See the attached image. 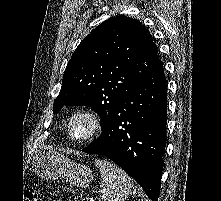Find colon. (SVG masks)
Masks as SVG:
<instances>
[{
    "mask_svg": "<svg viewBox=\"0 0 221 201\" xmlns=\"http://www.w3.org/2000/svg\"><path fill=\"white\" fill-rule=\"evenodd\" d=\"M39 198V192L33 187L26 188L22 201H37Z\"/></svg>",
    "mask_w": 221,
    "mask_h": 201,
    "instance_id": "colon-1",
    "label": "colon"
}]
</instances>
